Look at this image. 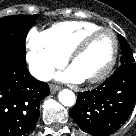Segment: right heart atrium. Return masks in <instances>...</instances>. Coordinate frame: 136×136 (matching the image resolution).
I'll use <instances>...</instances> for the list:
<instances>
[{
  "instance_id": "right-heart-atrium-1",
  "label": "right heart atrium",
  "mask_w": 136,
  "mask_h": 136,
  "mask_svg": "<svg viewBox=\"0 0 136 136\" xmlns=\"http://www.w3.org/2000/svg\"><path fill=\"white\" fill-rule=\"evenodd\" d=\"M26 46L29 69L38 79H45L65 62L66 56L48 41L45 32L32 29L27 35Z\"/></svg>"
}]
</instances>
